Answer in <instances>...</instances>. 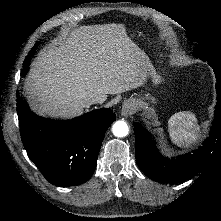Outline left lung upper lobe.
Returning <instances> with one entry per match:
<instances>
[{
  "instance_id": "obj_1",
  "label": "left lung upper lobe",
  "mask_w": 221,
  "mask_h": 221,
  "mask_svg": "<svg viewBox=\"0 0 221 221\" xmlns=\"http://www.w3.org/2000/svg\"><path fill=\"white\" fill-rule=\"evenodd\" d=\"M189 37V35H188ZM189 39L192 41V39L189 37ZM193 53L196 57H199L201 60L205 61L206 60V56L202 50V48L200 47V45H196V47L193 50Z\"/></svg>"
}]
</instances>
